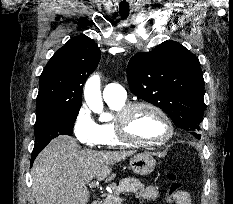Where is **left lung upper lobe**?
<instances>
[{
    "instance_id": "left-lung-upper-lobe-1",
    "label": "left lung upper lobe",
    "mask_w": 233,
    "mask_h": 204,
    "mask_svg": "<svg viewBox=\"0 0 233 204\" xmlns=\"http://www.w3.org/2000/svg\"><path fill=\"white\" fill-rule=\"evenodd\" d=\"M130 90L160 107L197 139L204 113V79L198 58L180 43L165 41L134 55L127 66Z\"/></svg>"
}]
</instances>
